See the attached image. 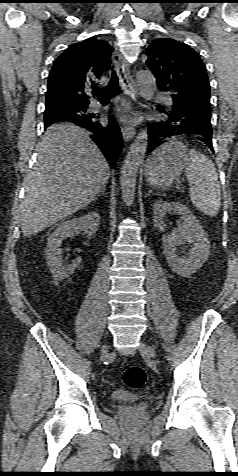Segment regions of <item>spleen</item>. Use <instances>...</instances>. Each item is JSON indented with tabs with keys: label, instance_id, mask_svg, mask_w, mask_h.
Wrapping results in <instances>:
<instances>
[{
	"label": "spleen",
	"instance_id": "1",
	"mask_svg": "<svg viewBox=\"0 0 238 476\" xmlns=\"http://www.w3.org/2000/svg\"><path fill=\"white\" fill-rule=\"evenodd\" d=\"M185 175L189 182V196L192 204L210 217L218 214L221 205V191L218 175L213 162L197 150H190Z\"/></svg>",
	"mask_w": 238,
	"mask_h": 476
}]
</instances>
